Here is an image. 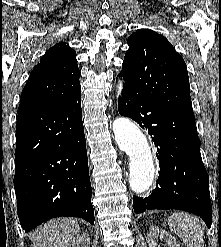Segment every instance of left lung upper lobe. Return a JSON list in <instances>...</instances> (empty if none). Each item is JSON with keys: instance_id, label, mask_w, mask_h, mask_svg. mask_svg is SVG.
I'll return each instance as SVG.
<instances>
[{"instance_id": "5c2ea615", "label": "left lung upper lobe", "mask_w": 221, "mask_h": 247, "mask_svg": "<svg viewBox=\"0 0 221 247\" xmlns=\"http://www.w3.org/2000/svg\"><path fill=\"white\" fill-rule=\"evenodd\" d=\"M128 45L120 75L135 95L194 116L186 64L171 43L153 30L138 29Z\"/></svg>"}]
</instances>
